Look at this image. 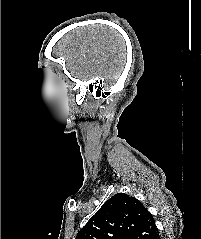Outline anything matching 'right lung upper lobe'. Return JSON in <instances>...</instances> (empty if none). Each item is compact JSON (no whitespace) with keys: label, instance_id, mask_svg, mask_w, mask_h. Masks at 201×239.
<instances>
[{"label":"right lung upper lobe","instance_id":"cb5924a9","mask_svg":"<svg viewBox=\"0 0 201 239\" xmlns=\"http://www.w3.org/2000/svg\"><path fill=\"white\" fill-rule=\"evenodd\" d=\"M153 216L141 202L125 193L107 200L76 239H157Z\"/></svg>","mask_w":201,"mask_h":239}]
</instances>
